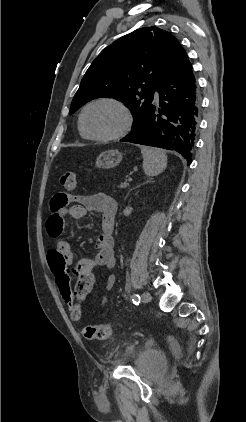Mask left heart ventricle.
I'll list each match as a JSON object with an SVG mask.
<instances>
[{"mask_svg": "<svg viewBox=\"0 0 246 422\" xmlns=\"http://www.w3.org/2000/svg\"><path fill=\"white\" fill-rule=\"evenodd\" d=\"M123 122L121 110L110 103L96 104L85 114V126L94 135L106 136L116 133Z\"/></svg>", "mask_w": 246, "mask_h": 422, "instance_id": "b2bd125f", "label": "left heart ventricle"}]
</instances>
